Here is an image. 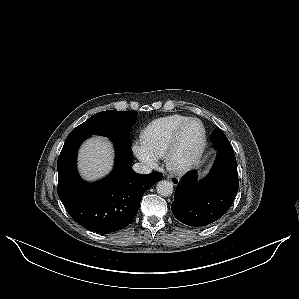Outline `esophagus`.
<instances>
[{
    "label": "esophagus",
    "instance_id": "34e87169",
    "mask_svg": "<svg viewBox=\"0 0 299 299\" xmlns=\"http://www.w3.org/2000/svg\"><path fill=\"white\" fill-rule=\"evenodd\" d=\"M167 179L174 185L177 186L180 183V179L175 176H167Z\"/></svg>",
    "mask_w": 299,
    "mask_h": 299
}]
</instances>
